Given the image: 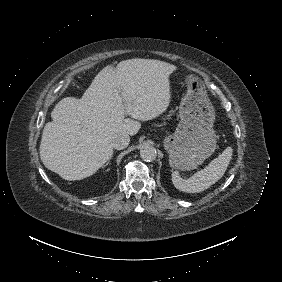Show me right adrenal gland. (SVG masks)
I'll use <instances>...</instances> for the list:
<instances>
[{
    "label": "right adrenal gland",
    "mask_w": 282,
    "mask_h": 282,
    "mask_svg": "<svg viewBox=\"0 0 282 282\" xmlns=\"http://www.w3.org/2000/svg\"><path fill=\"white\" fill-rule=\"evenodd\" d=\"M112 157H113V156H111V157L109 158V160L107 161V163L105 164V166H107V165L110 163V160L112 159Z\"/></svg>",
    "instance_id": "1"
}]
</instances>
